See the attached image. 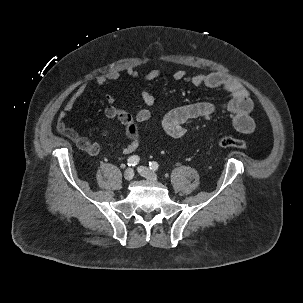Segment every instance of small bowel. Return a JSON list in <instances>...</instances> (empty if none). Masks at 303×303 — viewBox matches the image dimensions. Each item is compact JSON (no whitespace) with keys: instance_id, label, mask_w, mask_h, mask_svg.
<instances>
[{"instance_id":"c3829d8e","label":"small bowel","mask_w":303,"mask_h":303,"mask_svg":"<svg viewBox=\"0 0 303 303\" xmlns=\"http://www.w3.org/2000/svg\"><path fill=\"white\" fill-rule=\"evenodd\" d=\"M124 72L132 78H142L146 81L156 80L162 75L159 69L141 72L134 66L126 67ZM120 77L121 73L119 71H108L95 78V87L97 89L101 88L107 83L118 81ZM173 78L176 81L189 82L195 86L222 90L227 92L230 98L223 104L199 102L172 109L163 119V127L169 136L173 138L183 137L187 133V124L189 122L199 118H209L218 110L226 111L232 115V124L238 132L243 134L253 132L255 124L250 115L253 109V101L248 90L241 83L218 72L191 75L182 69L175 71ZM87 88L88 84L82 83L73 91L66 101L64 108L59 113L57 130L64 137L72 141L81 151L90 156H97L101 151L100 145L90 138L81 135L66 123L69 113ZM141 99L143 107L133 116L124 109L114 105L115 97L113 94L107 93L105 96L107 106L104 110V115L107 119L108 127L103 131V134L105 136L108 135L111 125L115 121L120 122L124 126L125 133L129 139L128 144L122 150L124 154H131L137 150L140 142L139 127L148 123L152 118L151 108L155 103L154 95L149 89L144 88L141 92Z\"/></svg>"}]
</instances>
